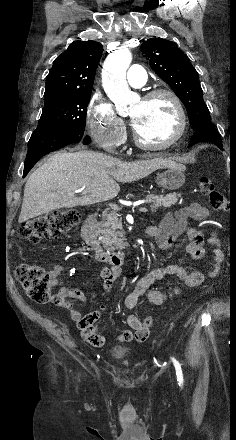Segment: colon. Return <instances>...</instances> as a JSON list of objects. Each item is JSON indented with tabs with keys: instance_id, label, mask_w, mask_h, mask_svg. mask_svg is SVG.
Masks as SVG:
<instances>
[{
	"instance_id": "colon-1",
	"label": "colon",
	"mask_w": 236,
	"mask_h": 440,
	"mask_svg": "<svg viewBox=\"0 0 236 440\" xmlns=\"http://www.w3.org/2000/svg\"><path fill=\"white\" fill-rule=\"evenodd\" d=\"M198 186L200 192L208 198L213 210L233 213L232 204L228 203L225 195L217 189L209 177H199ZM80 218L81 213L76 208L57 210L22 223L18 228V235L30 243L37 244L71 231L79 223ZM15 275L19 284L36 303L60 302V299L52 294V288L58 283V279L51 272L35 264L21 263L17 266ZM143 324H149L151 328L153 318L146 317Z\"/></svg>"
}]
</instances>
